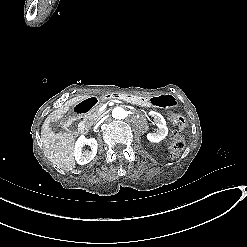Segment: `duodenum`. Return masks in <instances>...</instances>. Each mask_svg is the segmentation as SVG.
<instances>
[{
    "mask_svg": "<svg viewBox=\"0 0 247 247\" xmlns=\"http://www.w3.org/2000/svg\"><path fill=\"white\" fill-rule=\"evenodd\" d=\"M103 99H117L126 102H135L136 97L134 95L126 94V93H109L103 96ZM100 99L97 97H89L81 102H79L74 107V113L72 118L70 119V126L75 128L77 132L83 133L86 130V122L85 116L87 113L92 111L94 108L98 106Z\"/></svg>",
    "mask_w": 247,
    "mask_h": 247,
    "instance_id": "1",
    "label": "duodenum"
}]
</instances>
